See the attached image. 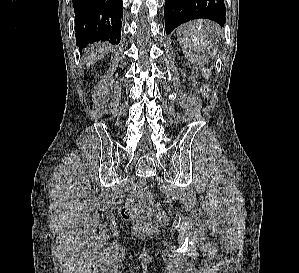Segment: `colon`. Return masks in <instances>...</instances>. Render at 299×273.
Instances as JSON below:
<instances>
[{
  "instance_id": "1",
  "label": "colon",
  "mask_w": 299,
  "mask_h": 273,
  "mask_svg": "<svg viewBox=\"0 0 299 273\" xmlns=\"http://www.w3.org/2000/svg\"><path fill=\"white\" fill-rule=\"evenodd\" d=\"M209 92L208 86H204L202 88V93L206 95ZM143 207V201L139 197H132L128 200L127 204L124 206L122 210V216L126 220H134L137 215L141 212ZM155 221L164 222L166 220L165 212L156 207L150 211ZM135 230L141 234H149L155 230V226L152 223L141 221L135 224Z\"/></svg>"
}]
</instances>
